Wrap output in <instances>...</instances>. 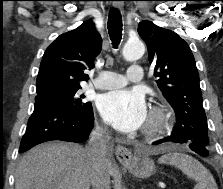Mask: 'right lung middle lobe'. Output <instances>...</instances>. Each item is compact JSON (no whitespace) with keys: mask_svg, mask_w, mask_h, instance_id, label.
Returning <instances> with one entry per match:
<instances>
[{"mask_svg":"<svg viewBox=\"0 0 223 189\" xmlns=\"http://www.w3.org/2000/svg\"><path fill=\"white\" fill-rule=\"evenodd\" d=\"M80 88H55L37 92L35 103L56 104L78 112H86L92 108V104L91 102L83 101V95H78L77 91Z\"/></svg>","mask_w":223,"mask_h":189,"instance_id":"dd1d6c3e","label":"right lung middle lobe"}]
</instances>
